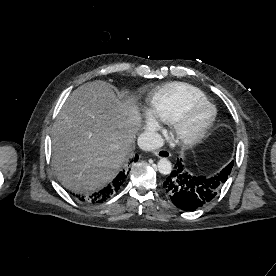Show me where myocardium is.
<instances>
[{
	"mask_svg": "<svg viewBox=\"0 0 276 276\" xmlns=\"http://www.w3.org/2000/svg\"><path fill=\"white\" fill-rule=\"evenodd\" d=\"M209 106L212 109V115L210 119L198 130L194 132H188L186 130L187 121L190 113L200 107V106ZM217 117L216 107L209 102L207 99L196 100L190 102L181 112V114L175 119L172 124V134L174 138L183 146H194L202 141L206 136L208 131L213 126Z\"/></svg>",
	"mask_w": 276,
	"mask_h": 276,
	"instance_id": "1",
	"label": "myocardium"
}]
</instances>
